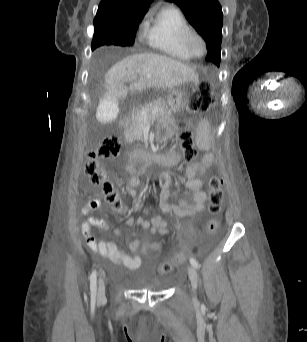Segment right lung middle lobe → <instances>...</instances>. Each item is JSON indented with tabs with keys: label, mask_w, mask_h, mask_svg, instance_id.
<instances>
[{
	"label": "right lung middle lobe",
	"mask_w": 307,
	"mask_h": 342,
	"mask_svg": "<svg viewBox=\"0 0 307 342\" xmlns=\"http://www.w3.org/2000/svg\"><path fill=\"white\" fill-rule=\"evenodd\" d=\"M135 32L121 33L96 30L92 40V50L102 45L131 46L134 43Z\"/></svg>",
	"instance_id": "dd1d6c3e"
}]
</instances>
